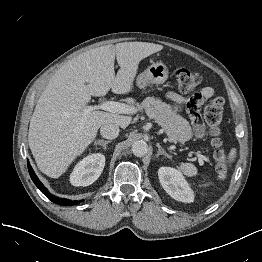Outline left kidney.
I'll list each match as a JSON object with an SVG mask.
<instances>
[{
	"label": "left kidney",
	"instance_id": "obj_1",
	"mask_svg": "<svg viewBox=\"0 0 262 262\" xmlns=\"http://www.w3.org/2000/svg\"><path fill=\"white\" fill-rule=\"evenodd\" d=\"M158 177L163 189L175 200L191 203L194 194L183 175L171 167H161L158 170Z\"/></svg>",
	"mask_w": 262,
	"mask_h": 262
}]
</instances>
